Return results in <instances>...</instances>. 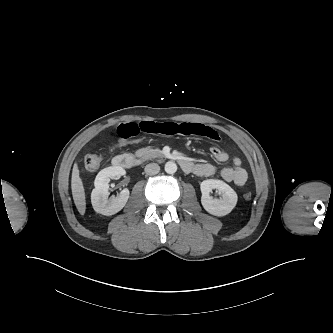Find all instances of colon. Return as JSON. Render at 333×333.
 Listing matches in <instances>:
<instances>
[{
	"instance_id": "5ec220e1",
	"label": "colon",
	"mask_w": 333,
	"mask_h": 333,
	"mask_svg": "<svg viewBox=\"0 0 333 333\" xmlns=\"http://www.w3.org/2000/svg\"><path fill=\"white\" fill-rule=\"evenodd\" d=\"M127 143H129V139H120L118 142H116L110 146V150L112 151V150L116 149L117 147L126 145ZM103 160H104L103 155H97V154L87 155L84 160L85 168L90 172H94L102 165ZM244 198L246 200H251V198H252L251 193H249V192L245 193Z\"/></svg>"
}]
</instances>
